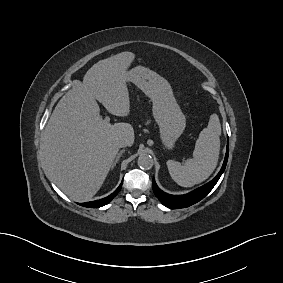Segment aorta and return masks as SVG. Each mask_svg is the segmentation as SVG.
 <instances>
[{
    "mask_svg": "<svg viewBox=\"0 0 283 283\" xmlns=\"http://www.w3.org/2000/svg\"><path fill=\"white\" fill-rule=\"evenodd\" d=\"M154 161L151 155L143 153L138 158V166L141 169L149 170L153 167Z\"/></svg>",
    "mask_w": 283,
    "mask_h": 283,
    "instance_id": "obj_1",
    "label": "aorta"
}]
</instances>
